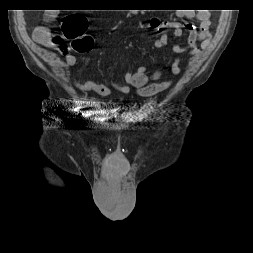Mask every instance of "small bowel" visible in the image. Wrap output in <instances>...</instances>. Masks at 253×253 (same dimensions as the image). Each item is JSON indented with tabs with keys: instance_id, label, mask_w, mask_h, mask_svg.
Instances as JSON below:
<instances>
[{
	"instance_id": "small-bowel-1",
	"label": "small bowel",
	"mask_w": 253,
	"mask_h": 253,
	"mask_svg": "<svg viewBox=\"0 0 253 253\" xmlns=\"http://www.w3.org/2000/svg\"><path fill=\"white\" fill-rule=\"evenodd\" d=\"M194 18L198 23V30L188 20L180 23L170 20L161 21L158 18L150 19L148 25L156 31L154 46L156 48L166 47L168 45V31H172L174 37L172 49L175 53L179 55L185 53H190L192 56L199 55L200 49L198 45L200 44L202 48H207L212 37L210 14L208 11H198L194 14ZM49 20L47 19V22ZM184 33L188 37L185 45H181L180 38ZM33 38L38 45L52 47L50 33L46 26L37 27L34 30ZM181 60V56L176 57L169 68L175 75H179L182 72L180 66ZM76 61L75 56L71 54L65 56V64L69 67L74 66ZM154 64H157V61ZM167 72V69H156L149 72L148 67L142 65L137 67L133 72H127L123 77L119 78V82H109L108 85L92 80L79 82L73 79V82L79 90L83 92H95L103 97L109 96L112 90L126 95L131 92V89H134L136 94L141 97H149L168 89L173 84V80L160 81Z\"/></svg>"
}]
</instances>
